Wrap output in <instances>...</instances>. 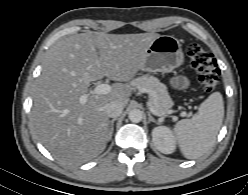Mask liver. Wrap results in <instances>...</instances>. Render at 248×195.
<instances>
[{
	"label": "liver",
	"mask_w": 248,
	"mask_h": 195,
	"mask_svg": "<svg viewBox=\"0 0 248 195\" xmlns=\"http://www.w3.org/2000/svg\"><path fill=\"white\" fill-rule=\"evenodd\" d=\"M157 33L86 32L59 40L47 53L34 92L31 123L40 142L64 164L84 163L104 151L109 117L105 106L125 107L130 82L142 70L146 50ZM108 77L111 92L88 95L93 81Z\"/></svg>",
	"instance_id": "obj_1"
}]
</instances>
